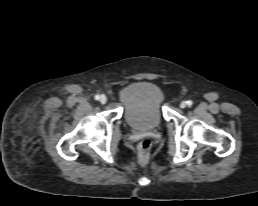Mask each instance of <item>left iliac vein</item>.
I'll use <instances>...</instances> for the list:
<instances>
[{"label":"left iliac vein","mask_w":258,"mask_h":206,"mask_svg":"<svg viewBox=\"0 0 258 206\" xmlns=\"http://www.w3.org/2000/svg\"><path fill=\"white\" fill-rule=\"evenodd\" d=\"M186 106H187V102L182 101V102L180 103V107H181V108H185Z\"/></svg>","instance_id":"obj_1"}]
</instances>
